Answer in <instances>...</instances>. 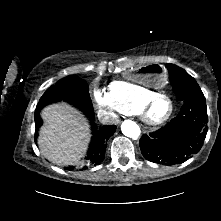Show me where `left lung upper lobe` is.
I'll return each mask as SVG.
<instances>
[{"instance_id": "1", "label": "left lung upper lobe", "mask_w": 221, "mask_h": 221, "mask_svg": "<svg viewBox=\"0 0 221 221\" xmlns=\"http://www.w3.org/2000/svg\"><path fill=\"white\" fill-rule=\"evenodd\" d=\"M166 67L169 71L171 85L181 102L204 97L195 79L184 69L174 64H167Z\"/></svg>"}]
</instances>
